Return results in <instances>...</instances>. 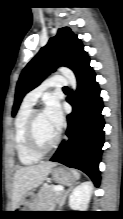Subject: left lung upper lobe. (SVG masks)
I'll list each match as a JSON object with an SVG mask.
<instances>
[{"instance_id":"left-lung-upper-lobe-1","label":"left lung upper lobe","mask_w":123,"mask_h":219,"mask_svg":"<svg viewBox=\"0 0 123 219\" xmlns=\"http://www.w3.org/2000/svg\"><path fill=\"white\" fill-rule=\"evenodd\" d=\"M87 59L89 57L77 35L68 27L59 29L57 35L23 69L16 86L12 115L15 116L25 94L37 87L50 72L66 66L75 73Z\"/></svg>"}]
</instances>
